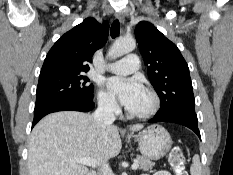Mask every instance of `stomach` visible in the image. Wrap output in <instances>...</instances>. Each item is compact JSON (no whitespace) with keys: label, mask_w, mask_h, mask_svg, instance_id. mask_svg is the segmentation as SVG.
<instances>
[{"label":"stomach","mask_w":233,"mask_h":175,"mask_svg":"<svg viewBox=\"0 0 233 175\" xmlns=\"http://www.w3.org/2000/svg\"><path fill=\"white\" fill-rule=\"evenodd\" d=\"M142 155L150 160L163 158L172 146L170 134L160 125H151L134 136Z\"/></svg>","instance_id":"1"}]
</instances>
